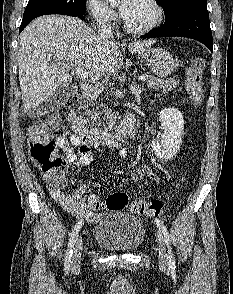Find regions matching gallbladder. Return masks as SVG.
<instances>
[{"instance_id": "obj_1", "label": "gallbladder", "mask_w": 233, "mask_h": 294, "mask_svg": "<svg viewBox=\"0 0 233 294\" xmlns=\"http://www.w3.org/2000/svg\"><path fill=\"white\" fill-rule=\"evenodd\" d=\"M69 96V89L66 86L58 87L54 94L49 98L47 104L50 108L55 107L56 105L60 104L61 102L65 101Z\"/></svg>"}]
</instances>
